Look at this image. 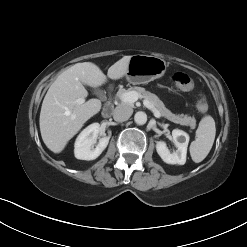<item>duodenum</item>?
Masks as SVG:
<instances>
[{
	"mask_svg": "<svg viewBox=\"0 0 247 247\" xmlns=\"http://www.w3.org/2000/svg\"><path fill=\"white\" fill-rule=\"evenodd\" d=\"M111 87L108 89L111 91ZM114 104L111 98H108L103 107V113L106 117L110 116L113 112Z\"/></svg>",
	"mask_w": 247,
	"mask_h": 247,
	"instance_id": "1",
	"label": "duodenum"
}]
</instances>
